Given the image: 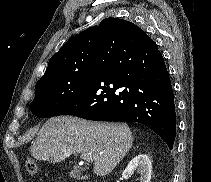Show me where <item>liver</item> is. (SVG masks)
Masks as SVG:
<instances>
[{
	"mask_svg": "<svg viewBox=\"0 0 211 182\" xmlns=\"http://www.w3.org/2000/svg\"><path fill=\"white\" fill-rule=\"evenodd\" d=\"M126 124L94 123L72 116L49 119L31 148L36 160L58 163L75 153L95 155L93 172L105 176L113 171L132 147Z\"/></svg>",
	"mask_w": 211,
	"mask_h": 182,
	"instance_id": "1",
	"label": "liver"
}]
</instances>
